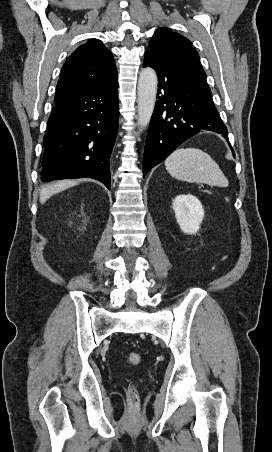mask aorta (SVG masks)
<instances>
[{
  "label": "aorta",
  "instance_id": "obj_1",
  "mask_svg": "<svg viewBox=\"0 0 272 452\" xmlns=\"http://www.w3.org/2000/svg\"><path fill=\"white\" fill-rule=\"evenodd\" d=\"M138 126L142 132L150 122L157 93V76L150 68L141 70L138 79Z\"/></svg>",
  "mask_w": 272,
  "mask_h": 452
}]
</instances>
